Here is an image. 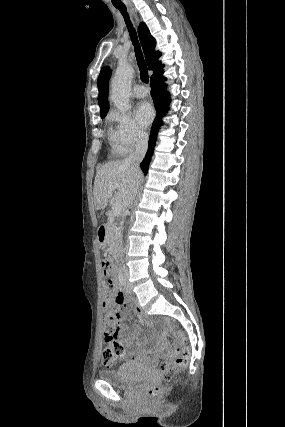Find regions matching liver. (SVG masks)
<instances>
[{
    "label": "liver",
    "mask_w": 285,
    "mask_h": 427,
    "mask_svg": "<svg viewBox=\"0 0 285 427\" xmlns=\"http://www.w3.org/2000/svg\"><path fill=\"white\" fill-rule=\"evenodd\" d=\"M141 175L137 176L131 166L124 160H117L104 164L96 173L93 195L96 210H103L113 191L110 190L112 184H117L115 196L121 201L124 207H127L133 196V188L140 180Z\"/></svg>",
    "instance_id": "liver-1"
}]
</instances>
